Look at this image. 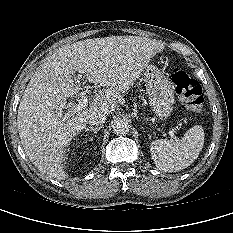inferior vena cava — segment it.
Instances as JSON below:
<instances>
[{"label": "inferior vena cava", "mask_w": 233, "mask_h": 233, "mask_svg": "<svg viewBox=\"0 0 233 233\" xmlns=\"http://www.w3.org/2000/svg\"><path fill=\"white\" fill-rule=\"evenodd\" d=\"M90 125H102L106 121V114L102 111H93L87 116Z\"/></svg>", "instance_id": "1"}]
</instances>
